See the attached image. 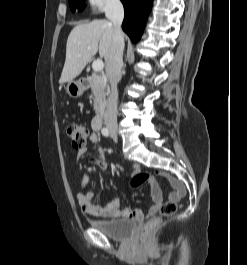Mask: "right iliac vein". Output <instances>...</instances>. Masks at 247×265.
<instances>
[{
    "instance_id": "63e3f726",
    "label": "right iliac vein",
    "mask_w": 247,
    "mask_h": 265,
    "mask_svg": "<svg viewBox=\"0 0 247 265\" xmlns=\"http://www.w3.org/2000/svg\"><path fill=\"white\" fill-rule=\"evenodd\" d=\"M110 131H111L112 134H114V135H117V134H118V128H117V127H112V128L110 129Z\"/></svg>"
}]
</instances>
